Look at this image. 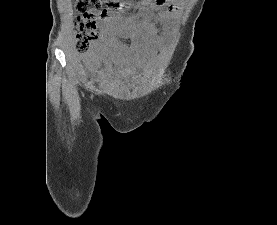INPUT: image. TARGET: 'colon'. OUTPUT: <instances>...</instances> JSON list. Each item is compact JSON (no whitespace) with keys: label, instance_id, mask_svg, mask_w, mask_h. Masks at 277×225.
<instances>
[{"label":"colon","instance_id":"1","mask_svg":"<svg viewBox=\"0 0 277 225\" xmlns=\"http://www.w3.org/2000/svg\"><path fill=\"white\" fill-rule=\"evenodd\" d=\"M75 8L79 13L73 21V29L76 32L75 48L83 53L98 37L93 15L106 17L110 12L123 10L125 7L116 0H75Z\"/></svg>","mask_w":277,"mask_h":225}]
</instances>
